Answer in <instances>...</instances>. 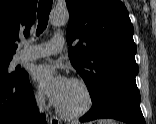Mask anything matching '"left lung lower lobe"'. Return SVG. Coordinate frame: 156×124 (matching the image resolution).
Returning a JSON list of instances; mask_svg holds the SVG:
<instances>
[{
    "instance_id": "left-lung-lower-lobe-1",
    "label": "left lung lower lobe",
    "mask_w": 156,
    "mask_h": 124,
    "mask_svg": "<svg viewBox=\"0 0 156 124\" xmlns=\"http://www.w3.org/2000/svg\"><path fill=\"white\" fill-rule=\"evenodd\" d=\"M139 101V98L121 93L108 94L92 102V108L80 121L112 118L128 124H145Z\"/></svg>"
}]
</instances>
